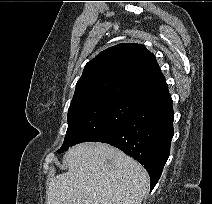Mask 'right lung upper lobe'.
I'll list each match as a JSON object with an SVG mask.
<instances>
[{
  "instance_id": "1",
  "label": "right lung upper lobe",
  "mask_w": 212,
  "mask_h": 204,
  "mask_svg": "<svg viewBox=\"0 0 212 204\" xmlns=\"http://www.w3.org/2000/svg\"><path fill=\"white\" fill-rule=\"evenodd\" d=\"M167 91L154 55L141 44L122 43L85 65L70 106L105 97L143 104Z\"/></svg>"
}]
</instances>
